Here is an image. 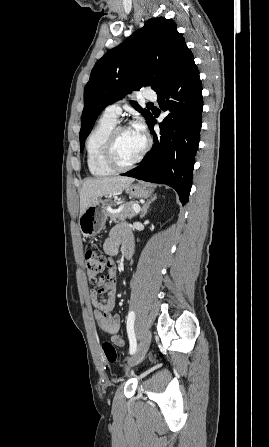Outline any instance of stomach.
<instances>
[{
  "label": "stomach",
  "mask_w": 269,
  "mask_h": 447,
  "mask_svg": "<svg viewBox=\"0 0 269 447\" xmlns=\"http://www.w3.org/2000/svg\"><path fill=\"white\" fill-rule=\"evenodd\" d=\"M125 190L131 198H148L153 192L150 184H144V182L142 184H132V186L125 188ZM108 202L112 204L111 200H108V194L99 196V198H95L94 202L89 204L84 214L80 216L78 224L84 237H92V235L100 233L106 222Z\"/></svg>",
  "instance_id": "obj_1"
}]
</instances>
